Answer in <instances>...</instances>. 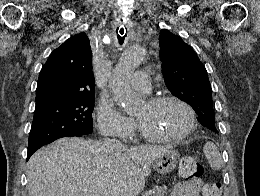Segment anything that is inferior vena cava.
<instances>
[{
    "mask_svg": "<svg viewBox=\"0 0 260 196\" xmlns=\"http://www.w3.org/2000/svg\"><path fill=\"white\" fill-rule=\"evenodd\" d=\"M102 144L103 146H106L108 150H112V152H122L124 148L123 144H120L119 140H110V138H105Z\"/></svg>",
    "mask_w": 260,
    "mask_h": 196,
    "instance_id": "obj_1",
    "label": "inferior vena cava"
}]
</instances>
